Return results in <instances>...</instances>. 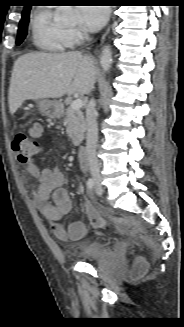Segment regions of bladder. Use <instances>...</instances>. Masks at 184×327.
Here are the masks:
<instances>
[{"label":"bladder","instance_id":"obj_1","mask_svg":"<svg viewBox=\"0 0 184 327\" xmlns=\"http://www.w3.org/2000/svg\"><path fill=\"white\" fill-rule=\"evenodd\" d=\"M77 253L83 261L98 262L99 260L109 258L113 260L117 268L124 269L126 267L125 259L116 256L114 250L101 241H93L81 245L77 248Z\"/></svg>","mask_w":184,"mask_h":327}]
</instances>
